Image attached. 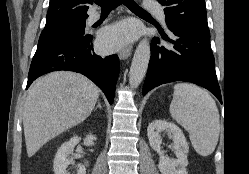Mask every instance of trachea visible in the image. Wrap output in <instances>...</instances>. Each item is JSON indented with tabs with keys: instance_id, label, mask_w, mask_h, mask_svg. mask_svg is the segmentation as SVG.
Returning <instances> with one entry per match:
<instances>
[{
	"instance_id": "3493384b",
	"label": "trachea",
	"mask_w": 249,
	"mask_h": 174,
	"mask_svg": "<svg viewBox=\"0 0 249 174\" xmlns=\"http://www.w3.org/2000/svg\"><path fill=\"white\" fill-rule=\"evenodd\" d=\"M95 3L101 6L102 10H112L124 4L134 13L149 15V13L142 9L134 0H96Z\"/></svg>"
}]
</instances>
